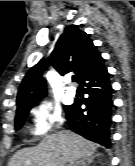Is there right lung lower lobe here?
Masks as SVG:
<instances>
[{"label":"right lung lower lobe","mask_w":135,"mask_h":166,"mask_svg":"<svg viewBox=\"0 0 135 166\" xmlns=\"http://www.w3.org/2000/svg\"><path fill=\"white\" fill-rule=\"evenodd\" d=\"M109 76L102 59L78 79L89 97L75 99L66 109V123L72 131L107 148L110 147L109 128L114 106ZM82 104L86 105L85 109L81 108Z\"/></svg>","instance_id":"obj_1"}]
</instances>
